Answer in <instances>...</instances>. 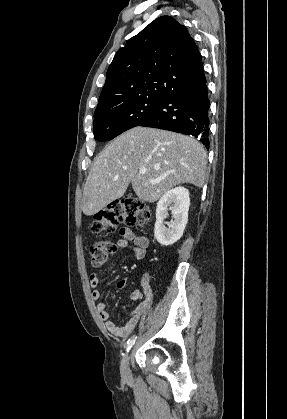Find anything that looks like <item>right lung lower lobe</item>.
I'll return each instance as SVG.
<instances>
[{
  "label": "right lung lower lobe",
  "instance_id": "98d812e1",
  "mask_svg": "<svg viewBox=\"0 0 287 419\" xmlns=\"http://www.w3.org/2000/svg\"><path fill=\"white\" fill-rule=\"evenodd\" d=\"M210 101L206 79L168 94L139 126L198 138L209 149Z\"/></svg>",
  "mask_w": 287,
  "mask_h": 419
}]
</instances>
